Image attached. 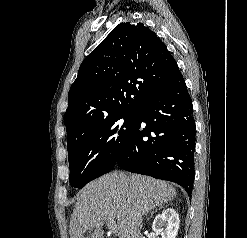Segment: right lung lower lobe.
I'll list each match as a JSON object with an SVG mask.
<instances>
[{"instance_id": "98d812e1", "label": "right lung lower lobe", "mask_w": 247, "mask_h": 238, "mask_svg": "<svg viewBox=\"0 0 247 238\" xmlns=\"http://www.w3.org/2000/svg\"><path fill=\"white\" fill-rule=\"evenodd\" d=\"M192 111L191 97L179 72L165 90L136 111L133 132L115 166L175 182L191 195L195 176Z\"/></svg>"}]
</instances>
